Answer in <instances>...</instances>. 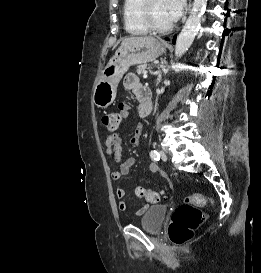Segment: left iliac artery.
Wrapping results in <instances>:
<instances>
[{
  "mask_svg": "<svg viewBox=\"0 0 261 273\" xmlns=\"http://www.w3.org/2000/svg\"><path fill=\"white\" fill-rule=\"evenodd\" d=\"M150 157L155 160L158 161L160 159V154L156 151V150H152L150 152Z\"/></svg>",
  "mask_w": 261,
  "mask_h": 273,
  "instance_id": "obj_1",
  "label": "left iliac artery"
}]
</instances>
